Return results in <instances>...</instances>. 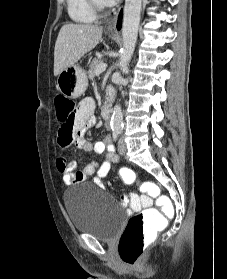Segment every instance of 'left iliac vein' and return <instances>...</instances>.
<instances>
[{
	"instance_id": "1",
	"label": "left iliac vein",
	"mask_w": 227,
	"mask_h": 279,
	"mask_svg": "<svg viewBox=\"0 0 227 279\" xmlns=\"http://www.w3.org/2000/svg\"><path fill=\"white\" fill-rule=\"evenodd\" d=\"M118 152L120 155H125L127 152V146L122 138L118 141Z\"/></svg>"
}]
</instances>
